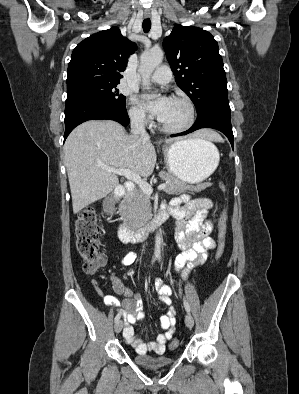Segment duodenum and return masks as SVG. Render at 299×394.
I'll list each match as a JSON object with an SVG mask.
<instances>
[{
  "instance_id": "duodenum-1",
  "label": "duodenum",
  "mask_w": 299,
  "mask_h": 394,
  "mask_svg": "<svg viewBox=\"0 0 299 394\" xmlns=\"http://www.w3.org/2000/svg\"><path fill=\"white\" fill-rule=\"evenodd\" d=\"M134 188V184L128 182L126 184V193L132 192ZM118 199L120 200V204L117 207V211L121 220V224L118 229V235L123 242H135L145 239L149 233H151L157 226H159L168 218V211L163 208L158 212L156 216L149 220L146 225L134 228L129 224L126 216V210L124 208L123 202L124 196ZM113 205L114 199H107L105 202V210L107 212H111L113 209Z\"/></svg>"
}]
</instances>
